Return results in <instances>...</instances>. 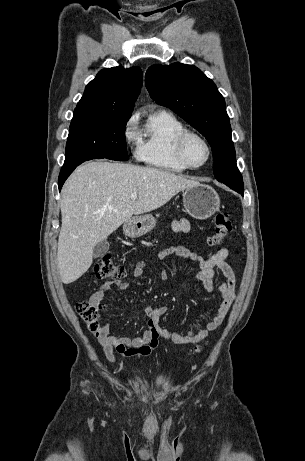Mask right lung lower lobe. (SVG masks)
I'll return each mask as SVG.
<instances>
[{
  "label": "right lung lower lobe",
  "mask_w": 305,
  "mask_h": 461,
  "mask_svg": "<svg viewBox=\"0 0 305 461\" xmlns=\"http://www.w3.org/2000/svg\"><path fill=\"white\" fill-rule=\"evenodd\" d=\"M78 165H79V164L74 165V166H71V167H67V168L62 167L61 172H60V175H59V180H58L59 190H61V187H62V185L64 184L65 180L68 178V176L73 172V170H74Z\"/></svg>",
  "instance_id": "98d812e1"
}]
</instances>
